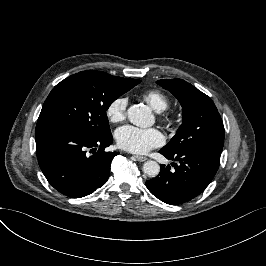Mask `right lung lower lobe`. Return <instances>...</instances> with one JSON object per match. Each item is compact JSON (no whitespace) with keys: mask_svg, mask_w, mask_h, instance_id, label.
I'll return each instance as SVG.
<instances>
[{"mask_svg":"<svg viewBox=\"0 0 266 266\" xmlns=\"http://www.w3.org/2000/svg\"><path fill=\"white\" fill-rule=\"evenodd\" d=\"M112 134L101 137L57 128L36 138L39 166L49 183L60 193L80 198L103 186L118 152H106ZM89 149L92 155L87 152Z\"/></svg>","mask_w":266,"mask_h":266,"instance_id":"1","label":"right lung lower lobe"}]
</instances>
